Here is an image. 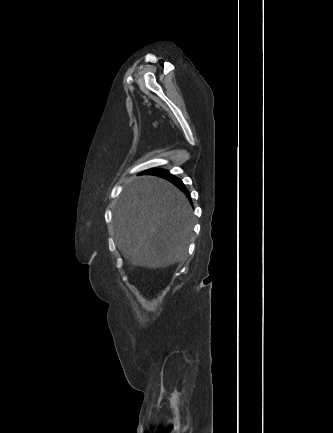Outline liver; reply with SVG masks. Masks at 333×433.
Wrapping results in <instances>:
<instances>
[{
  "instance_id": "1",
  "label": "liver",
  "mask_w": 333,
  "mask_h": 433,
  "mask_svg": "<svg viewBox=\"0 0 333 433\" xmlns=\"http://www.w3.org/2000/svg\"><path fill=\"white\" fill-rule=\"evenodd\" d=\"M117 247L132 264L162 268L182 261L192 231V208L173 184L133 177L113 215Z\"/></svg>"
}]
</instances>
